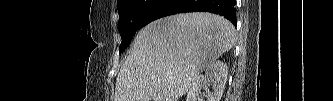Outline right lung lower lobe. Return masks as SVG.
I'll list each match as a JSON object with an SVG mask.
<instances>
[{
  "label": "right lung lower lobe",
  "instance_id": "obj_1",
  "mask_svg": "<svg viewBox=\"0 0 333 101\" xmlns=\"http://www.w3.org/2000/svg\"><path fill=\"white\" fill-rule=\"evenodd\" d=\"M235 5L236 0H158L144 17L142 27L161 17L185 12H212L236 26Z\"/></svg>",
  "mask_w": 333,
  "mask_h": 101
}]
</instances>
